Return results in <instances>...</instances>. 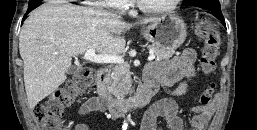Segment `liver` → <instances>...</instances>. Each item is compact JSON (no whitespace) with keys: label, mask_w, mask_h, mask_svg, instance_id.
Segmentation results:
<instances>
[{"label":"liver","mask_w":257,"mask_h":130,"mask_svg":"<svg viewBox=\"0 0 257 130\" xmlns=\"http://www.w3.org/2000/svg\"><path fill=\"white\" fill-rule=\"evenodd\" d=\"M157 18H145L148 24ZM132 28L119 17L91 8L50 0L24 22L19 51L29 107L35 106L67 79L72 57L94 49L99 55L119 56L125 49L120 35Z\"/></svg>","instance_id":"1"}]
</instances>
